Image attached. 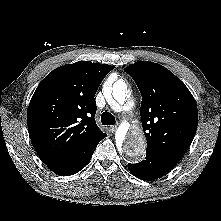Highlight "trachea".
I'll return each instance as SVG.
<instances>
[{"mask_svg": "<svg viewBox=\"0 0 221 221\" xmlns=\"http://www.w3.org/2000/svg\"><path fill=\"white\" fill-rule=\"evenodd\" d=\"M102 125H114L115 117L109 112H103L101 115Z\"/></svg>", "mask_w": 221, "mask_h": 221, "instance_id": "1", "label": "trachea"}]
</instances>
